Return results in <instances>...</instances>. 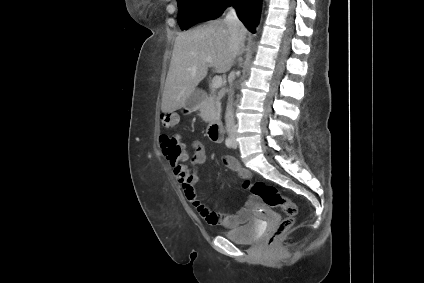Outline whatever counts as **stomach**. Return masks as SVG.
<instances>
[{
	"label": "stomach",
	"mask_w": 424,
	"mask_h": 283,
	"mask_svg": "<svg viewBox=\"0 0 424 283\" xmlns=\"http://www.w3.org/2000/svg\"><path fill=\"white\" fill-rule=\"evenodd\" d=\"M184 109L185 110H192L193 108H189V107L186 106Z\"/></svg>",
	"instance_id": "1"
}]
</instances>
